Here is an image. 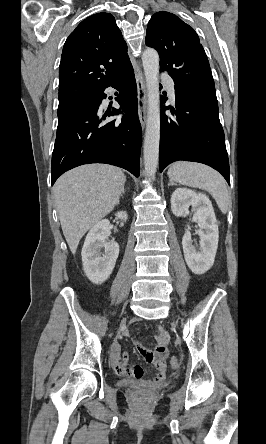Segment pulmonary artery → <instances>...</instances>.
Masks as SVG:
<instances>
[{
	"mask_svg": "<svg viewBox=\"0 0 266 444\" xmlns=\"http://www.w3.org/2000/svg\"><path fill=\"white\" fill-rule=\"evenodd\" d=\"M163 82H164V85L166 86V88H167V90L169 92V95L171 97H174L175 89H174V82H173V80L170 77H164L163 78Z\"/></svg>",
	"mask_w": 266,
	"mask_h": 444,
	"instance_id": "1",
	"label": "pulmonary artery"
}]
</instances>
